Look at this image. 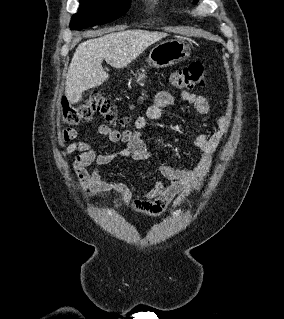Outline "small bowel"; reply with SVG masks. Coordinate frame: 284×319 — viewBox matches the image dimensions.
I'll return each instance as SVG.
<instances>
[{
    "label": "small bowel",
    "instance_id": "c3829d8e",
    "mask_svg": "<svg viewBox=\"0 0 284 319\" xmlns=\"http://www.w3.org/2000/svg\"><path fill=\"white\" fill-rule=\"evenodd\" d=\"M181 97L193 106L196 115H205L210 110L207 98L183 91ZM175 97L168 91H160L155 95L152 106L145 117L135 120L134 129L119 132L107 125H99L97 132L111 142H122L125 147L115 153L97 154L92 146L82 140H75L77 131L69 128L62 133V141L67 143L64 155L76 153L72 167L78 176L79 187L87 191L93 199L101 198L106 201V191L113 190L121 197V204L133 211L157 217L166 212L179 208L184 202H189L195 192L203 187L212 167V156L219 148L223 137L229 130L230 120L222 117L218 120V130L214 133H196L192 135V143L200 150L196 163L190 167L179 168L169 164L158 167L159 179L146 186L144 194L147 199H134L131 189L121 181H108L103 178V167L116 157L132 158L136 161H146L153 157L143 141V131L148 121L160 120L164 111L173 105ZM91 166L89 170L88 167ZM114 203V202H111Z\"/></svg>",
    "mask_w": 284,
    "mask_h": 319
}]
</instances>
